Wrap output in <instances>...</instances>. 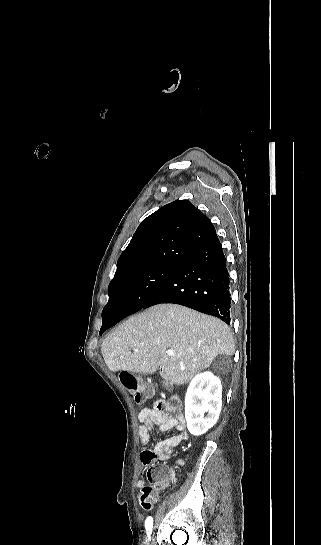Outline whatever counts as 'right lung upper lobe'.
<instances>
[{"instance_id": "1", "label": "right lung upper lobe", "mask_w": 321, "mask_h": 545, "mask_svg": "<svg viewBox=\"0 0 321 545\" xmlns=\"http://www.w3.org/2000/svg\"><path fill=\"white\" fill-rule=\"evenodd\" d=\"M215 236L209 218L190 201L166 204L139 225L117 262L113 280L124 272L153 265L181 266Z\"/></svg>"}]
</instances>
